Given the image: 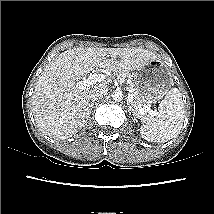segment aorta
Wrapping results in <instances>:
<instances>
[{
	"instance_id": "obj_1",
	"label": "aorta",
	"mask_w": 214,
	"mask_h": 214,
	"mask_svg": "<svg viewBox=\"0 0 214 214\" xmlns=\"http://www.w3.org/2000/svg\"><path fill=\"white\" fill-rule=\"evenodd\" d=\"M112 98L114 101L119 102L123 99V94L122 91L120 90H115L112 94Z\"/></svg>"
}]
</instances>
